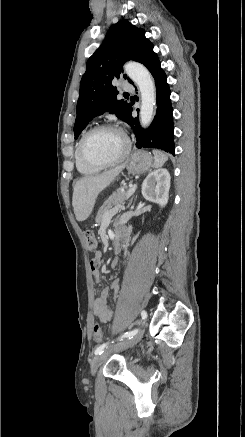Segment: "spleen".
Wrapping results in <instances>:
<instances>
[{"mask_svg":"<svg viewBox=\"0 0 245 437\" xmlns=\"http://www.w3.org/2000/svg\"><path fill=\"white\" fill-rule=\"evenodd\" d=\"M153 154H154V167L155 168L162 167L165 164V162L168 160V156L160 150L154 149Z\"/></svg>","mask_w":245,"mask_h":437,"instance_id":"1","label":"spleen"}]
</instances>
